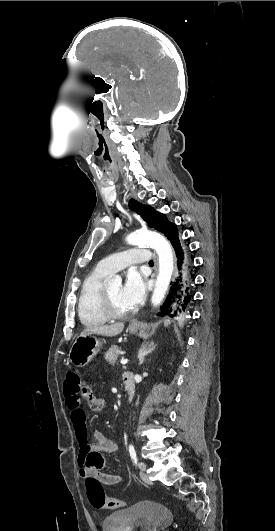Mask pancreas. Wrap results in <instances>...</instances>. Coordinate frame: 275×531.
I'll return each instance as SVG.
<instances>
[{
	"label": "pancreas",
	"mask_w": 275,
	"mask_h": 531,
	"mask_svg": "<svg viewBox=\"0 0 275 531\" xmlns=\"http://www.w3.org/2000/svg\"><path fill=\"white\" fill-rule=\"evenodd\" d=\"M120 353H121V347H117V345H111L110 349H108L107 353H105L104 359L108 361L109 365H114Z\"/></svg>",
	"instance_id": "obj_1"
}]
</instances>
